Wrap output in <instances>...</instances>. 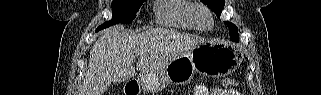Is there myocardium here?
<instances>
[{
  "label": "myocardium",
  "instance_id": "f54148a6",
  "mask_svg": "<svg viewBox=\"0 0 321 95\" xmlns=\"http://www.w3.org/2000/svg\"><path fill=\"white\" fill-rule=\"evenodd\" d=\"M195 20L201 30H210L213 27V19L210 10L204 6H198L195 11Z\"/></svg>",
  "mask_w": 321,
  "mask_h": 95
}]
</instances>
